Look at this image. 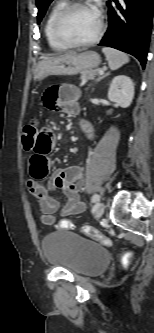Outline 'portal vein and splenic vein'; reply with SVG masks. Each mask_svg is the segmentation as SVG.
I'll return each instance as SVG.
<instances>
[{"mask_svg":"<svg viewBox=\"0 0 154 333\" xmlns=\"http://www.w3.org/2000/svg\"><path fill=\"white\" fill-rule=\"evenodd\" d=\"M99 74H100V75H103V74H104V70H99ZM85 81H86V80H84L83 83H85ZM83 83H82V84H83Z\"/></svg>","mask_w":154,"mask_h":333,"instance_id":"1","label":"portal vein and splenic vein"}]
</instances>
